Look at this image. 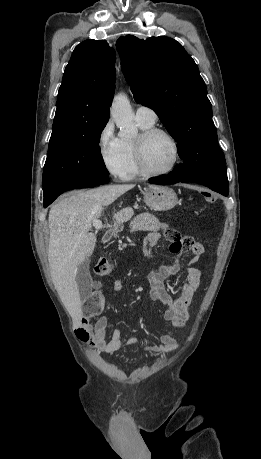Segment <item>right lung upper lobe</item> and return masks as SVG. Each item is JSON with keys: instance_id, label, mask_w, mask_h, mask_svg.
Listing matches in <instances>:
<instances>
[{"instance_id": "cb5924a9", "label": "right lung upper lobe", "mask_w": 261, "mask_h": 459, "mask_svg": "<svg viewBox=\"0 0 261 459\" xmlns=\"http://www.w3.org/2000/svg\"><path fill=\"white\" fill-rule=\"evenodd\" d=\"M115 60L116 53L105 40H86L75 48L59 88L51 137L108 122Z\"/></svg>"}]
</instances>
